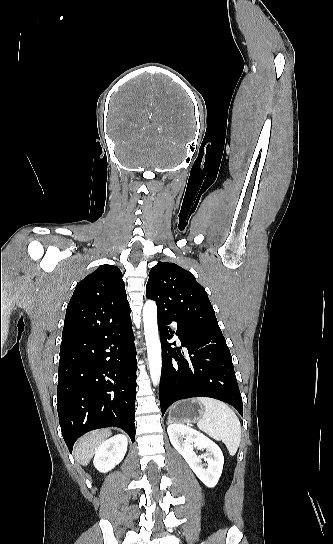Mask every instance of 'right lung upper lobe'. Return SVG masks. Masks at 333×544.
Segmentation results:
<instances>
[{
  "instance_id": "right-lung-upper-lobe-1",
  "label": "right lung upper lobe",
  "mask_w": 333,
  "mask_h": 544,
  "mask_svg": "<svg viewBox=\"0 0 333 544\" xmlns=\"http://www.w3.org/2000/svg\"><path fill=\"white\" fill-rule=\"evenodd\" d=\"M130 312L121 271L102 265L77 284L67 306L62 338L119 321Z\"/></svg>"
}]
</instances>
